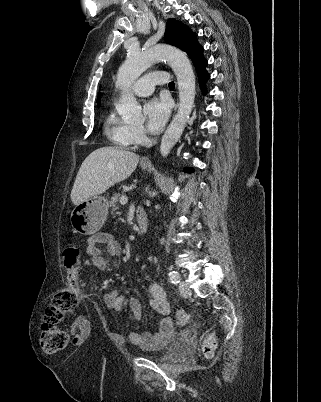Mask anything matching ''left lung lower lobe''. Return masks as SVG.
<instances>
[{"instance_id": "left-lung-lower-lobe-1", "label": "left lung lower lobe", "mask_w": 321, "mask_h": 402, "mask_svg": "<svg viewBox=\"0 0 321 402\" xmlns=\"http://www.w3.org/2000/svg\"><path fill=\"white\" fill-rule=\"evenodd\" d=\"M202 51H203V47L200 46V45H197L189 56H190L194 66H195V69L197 71L199 81H200V85H201V87H204L207 79H209V75L205 70V67L207 65V61L203 57ZM204 93H205V91H204ZM184 172L191 173V172H194V169L193 168H185Z\"/></svg>"}]
</instances>
